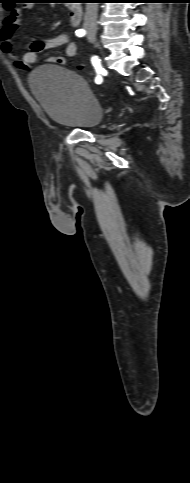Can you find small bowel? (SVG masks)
I'll return each mask as SVG.
<instances>
[{"instance_id": "1", "label": "small bowel", "mask_w": 190, "mask_h": 483, "mask_svg": "<svg viewBox=\"0 0 190 483\" xmlns=\"http://www.w3.org/2000/svg\"><path fill=\"white\" fill-rule=\"evenodd\" d=\"M25 8L26 6L14 8L5 17L4 22L0 27V49L2 52L8 57L13 65L19 69H27L37 60L38 55L44 50L64 46L65 57H49L45 62L68 64L76 55L77 46L67 33H61L54 37L30 43L29 50L21 58L14 53L11 39L18 27L19 20Z\"/></svg>"}]
</instances>
